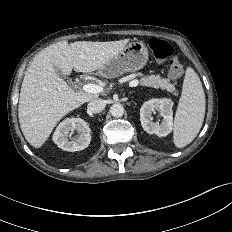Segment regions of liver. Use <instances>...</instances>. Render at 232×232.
I'll use <instances>...</instances> for the list:
<instances>
[{
  "mask_svg": "<svg viewBox=\"0 0 232 232\" xmlns=\"http://www.w3.org/2000/svg\"><path fill=\"white\" fill-rule=\"evenodd\" d=\"M129 39L107 42L59 41L39 52L23 79L18 117L25 139L40 148L58 121L97 94L75 92L58 74L91 73L101 69L121 52Z\"/></svg>",
  "mask_w": 232,
  "mask_h": 232,
  "instance_id": "obj_1",
  "label": "liver"
}]
</instances>
